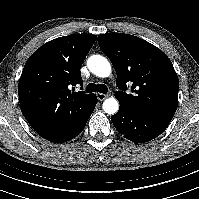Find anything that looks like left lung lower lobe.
I'll return each instance as SVG.
<instances>
[{
  "mask_svg": "<svg viewBox=\"0 0 199 199\" xmlns=\"http://www.w3.org/2000/svg\"><path fill=\"white\" fill-rule=\"evenodd\" d=\"M119 103V111L111 116V120L117 131L132 142H148L158 137L170 123L145 114L121 100Z\"/></svg>",
  "mask_w": 199,
  "mask_h": 199,
  "instance_id": "0a47b994",
  "label": "left lung lower lobe"
}]
</instances>
